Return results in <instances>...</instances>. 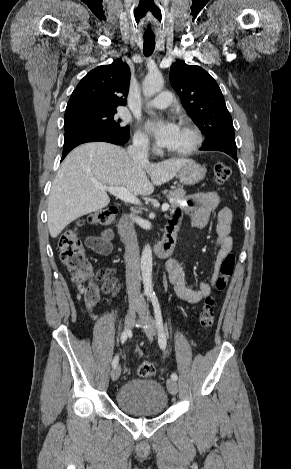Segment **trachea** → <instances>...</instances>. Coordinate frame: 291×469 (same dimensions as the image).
I'll return each instance as SVG.
<instances>
[{
	"label": "trachea",
	"instance_id": "obj_1",
	"mask_svg": "<svg viewBox=\"0 0 291 469\" xmlns=\"http://www.w3.org/2000/svg\"><path fill=\"white\" fill-rule=\"evenodd\" d=\"M155 49V38L154 37H144V43H143V53L146 57H149L152 55L153 51Z\"/></svg>",
	"mask_w": 291,
	"mask_h": 469
}]
</instances>
